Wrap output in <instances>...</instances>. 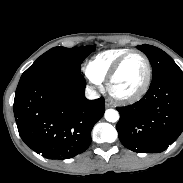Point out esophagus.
<instances>
[{
	"label": "esophagus",
	"instance_id": "1",
	"mask_svg": "<svg viewBox=\"0 0 183 183\" xmlns=\"http://www.w3.org/2000/svg\"><path fill=\"white\" fill-rule=\"evenodd\" d=\"M105 107H106V108L111 107V103H110V101H109V100H106V102H105Z\"/></svg>",
	"mask_w": 183,
	"mask_h": 183
}]
</instances>
